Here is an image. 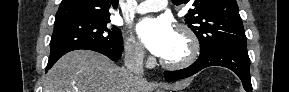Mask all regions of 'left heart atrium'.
I'll return each instance as SVG.
<instances>
[{"label": "left heart atrium", "mask_w": 289, "mask_h": 92, "mask_svg": "<svg viewBox=\"0 0 289 92\" xmlns=\"http://www.w3.org/2000/svg\"><path fill=\"white\" fill-rule=\"evenodd\" d=\"M136 33L143 45L161 58L168 54L176 36L171 22L166 18H145L137 24Z\"/></svg>", "instance_id": "obj_1"}]
</instances>
